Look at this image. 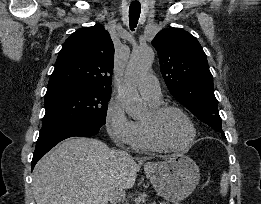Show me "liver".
<instances>
[{
    "label": "liver",
    "mask_w": 261,
    "mask_h": 204,
    "mask_svg": "<svg viewBox=\"0 0 261 204\" xmlns=\"http://www.w3.org/2000/svg\"><path fill=\"white\" fill-rule=\"evenodd\" d=\"M139 166L104 142L68 138L36 164L33 194L36 204H108L113 185L134 186Z\"/></svg>",
    "instance_id": "obj_1"
}]
</instances>
